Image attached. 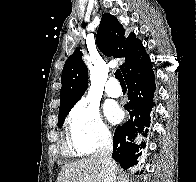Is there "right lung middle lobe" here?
Instances as JSON below:
<instances>
[{
	"label": "right lung middle lobe",
	"mask_w": 196,
	"mask_h": 182,
	"mask_svg": "<svg viewBox=\"0 0 196 182\" xmlns=\"http://www.w3.org/2000/svg\"><path fill=\"white\" fill-rule=\"evenodd\" d=\"M66 116H67V114L58 117V127H59V128H61V126L63 125Z\"/></svg>",
	"instance_id": "dd1d6c3e"
}]
</instances>
